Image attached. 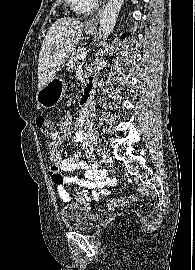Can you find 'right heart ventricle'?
<instances>
[{
  "label": "right heart ventricle",
  "mask_w": 195,
  "mask_h": 270,
  "mask_svg": "<svg viewBox=\"0 0 195 270\" xmlns=\"http://www.w3.org/2000/svg\"><path fill=\"white\" fill-rule=\"evenodd\" d=\"M71 9L79 14L90 13L95 7V0H68Z\"/></svg>",
  "instance_id": "right-heart-ventricle-1"
}]
</instances>
